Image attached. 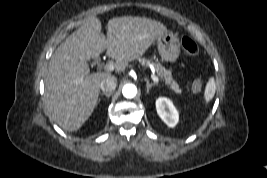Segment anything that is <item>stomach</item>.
I'll return each instance as SVG.
<instances>
[{
  "label": "stomach",
  "instance_id": "1",
  "mask_svg": "<svg viewBox=\"0 0 267 178\" xmlns=\"http://www.w3.org/2000/svg\"><path fill=\"white\" fill-rule=\"evenodd\" d=\"M157 48L162 60L166 62H175L180 55L179 39L170 31L157 38Z\"/></svg>",
  "mask_w": 267,
  "mask_h": 178
}]
</instances>
